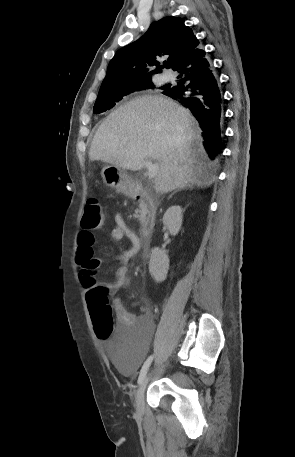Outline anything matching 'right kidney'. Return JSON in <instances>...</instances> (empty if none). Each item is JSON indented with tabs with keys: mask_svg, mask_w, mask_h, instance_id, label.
<instances>
[{
	"mask_svg": "<svg viewBox=\"0 0 295 457\" xmlns=\"http://www.w3.org/2000/svg\"><path fill=\"white\" fill-rule=\"evenodd\" d=\"M182 209L180 206H171L163 216V224L172 235H176L182 224ZM169 269V257L165 251L154 248L149 261V272L156 282H163Z\"/></svg>",
	"mask_w": 295,
	"mask_h": 457,
	"instance_id": "ca27d5eb",
	"label": "right kidney"
}]
</instances>
